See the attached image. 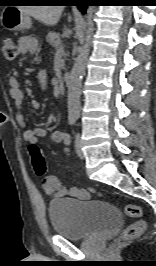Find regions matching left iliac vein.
Here are the masks:
<instances>
[{
    "label": "left iliac vein",
    "mask_w": 156,
    "mask_h": 266,
    "mask_svg": "<svg viewBox=\"0 0 156 266\" xmlns=\"http://www.w3.org/2000/svg\"><path fill=\"white\" fill-rule=\"evenodd\" d=\"M75 149H76V153L80 158H84V153L81 149V138H80V134L77 133L76 134V138H75Z\"/></svg>",
    "instance_id": "left-iliac-vein-1"
}]
</instances>
